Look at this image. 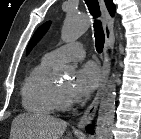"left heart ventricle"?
I'll return each mask as SVG.
<instances>
[{
  "label": "left heart ventricle",
  "instance_id": "b2bd125f",
  "mask_svg": "<svg viewBox=\"0 0 141 139\" xmlns=\"http://www.w3.org/2000/svg\"><path fill=\"white\" fill-rule=\"evenodd\" d=\"M71 84H72L71 81H66L61 84H58L57 86L68 96V90Z\"/></svg>",
  "mask_w": 141,
  "mask_h": 139
}]
</instances>
